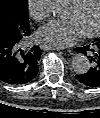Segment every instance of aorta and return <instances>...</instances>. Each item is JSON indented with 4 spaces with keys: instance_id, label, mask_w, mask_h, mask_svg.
<instances>
[{
    "instance_id": "1",
    "label": "aorta",
    "mask_w": 100,
    "mask_h": 118,
    "mask_svg": "<svg viewBox=\"0 0 100 118\" xmlns=\"http://www.w3.org/2000/svg\"><path fill=\"white\" fill-rule=\"evenodd\" d=\"M52 9L54 11H58L60 9L57 1L54 2ZM72 68L77 74H85L90 69V62L83 54H76L72 59Z\"/></svg>"
}]
</instances>
